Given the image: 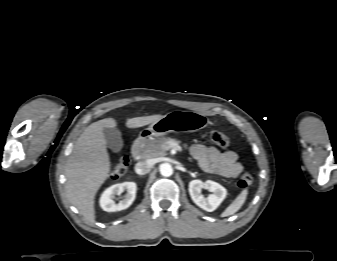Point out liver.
<instances>
[{"instance_id": "obj_1", "label": "liver", "mask_w": 337, "mask_h": 261, "mask_svg": "<svg viewBox=\"0 0 337 261\" xmlns=\"http://www.w3.org/2000/svg\"><path fill=\"white\" fill-rule=\"evenodd\" d=\"M162 115L130 118L128 128H138L155 122ZM117 122L106 118L90 124L77 139L68 158L66 194L83 217L90 223L95 222V196L101 185L109 178L111 162L107 151L104 128H115Z\"/></svg>"}]
</instances>
